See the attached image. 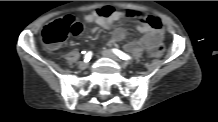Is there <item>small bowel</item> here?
<instances>
[{
	"instance_id": "1",
	"label": "small bowel",
	"mask_w": 218,
	"mask_h": 122,
	"mask_svg": "<svg viewBox=\"0 0 218 122\" xmlns=\"http://www.w3.org/2000/svg\"><path fill=\"white\" fill-rule=\"evenodd\" d=\"M128 17V11L116 10L111 6H103L95 11H92L84 16L87 23H95L97 26L106 30L112 28L113 24L121 18ZM137 30L143 35L141 38L134 40L126 45V49L130 52L138 49H145L151 56L154 57V52L161 45L164 33L162 28L152 27L145 21H139ZM97 32V27L91 29V34ZM126 36V31L123 28L114 30L111 42L122 41Z\"/></svg>"
}]
</instances>
